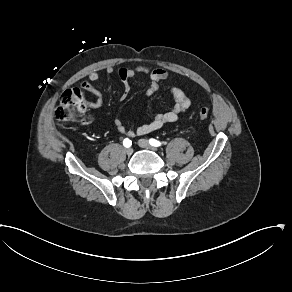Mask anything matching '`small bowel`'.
Returning a JSON list of instances; mask_svg holds the SVG:
<instances>
[{"instance_id":"obj_1","label":"small bowel","mask_w":292,"mask_h":292,"mask_svg":"<svg viewBox=\"0 0 292 292\" xmlns=\"http://www.w3.org/2000/svg\"><path fill=\"white\" fill-rule=\"evenodd\" d=\"M105 72L107 74H112L114 70L111 67H108ZM117 73L123 82V98L129 94L130 81L137 75L144 74L149 77L150 84L145 91L147 96L154 95L160 84L168 80L170 77L169 72L166 69L150 68L145 65H138L130 68L121 67L118 69ZM99 79L100 73L94 70L88 74L87 79L80 83V88L95 98L93 102L89 103L92 108H99L102 105V94L94 85ZM168 89L174 99V104L168 111L155 114L149 122L139 126L136 130L127 129L120 118H115L114 125L117 131L126 136L145 135L159 130L167 124L175 123L179 116L189 109L191 106V99L183 89L177 85L170 84L168 85Z\"/></svg>"}]
</instances>
